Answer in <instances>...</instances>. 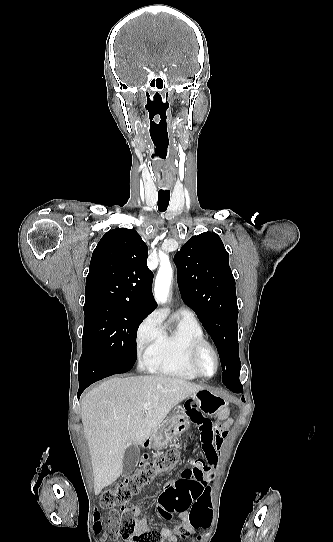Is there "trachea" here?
Returning <instances> with one entry per match:
<instances>
[{
	"label": "trachea",
	"instance_id": "1",
	"mask_svg": "<svg viewBox=\"0 0 333 542\" xmlns=\"http://www.w3.org/2000/svg\"><path fill=\"white\" fill-rule=\"evenodd\" d=\"M170 201L169 190H159L158 192V210L159 212H165Z\"/></svg>",
	"mask_w": 333,
	"mask_h": 542
}]
</instances>
